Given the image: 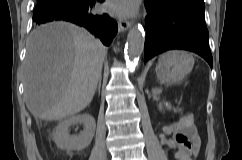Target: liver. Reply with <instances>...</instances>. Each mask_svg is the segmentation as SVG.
<instances>
[{
  "label": "liver",
  "mask_w": 242,
  "mask_h": 160,
  "mask_svg": "<svg viewBox=\"0 0 242 160\" xmlns=\"http://www.w3.org/2000/svg\"><path fill=\"white\" fill-rule=\"evenodd\" d=\"M107 53L76 25L57 22L34 30L24 63L25 101L35 118L61 121L92 101Z\"/></svg>",
  "instance_id": "1"
}]
</instances>
